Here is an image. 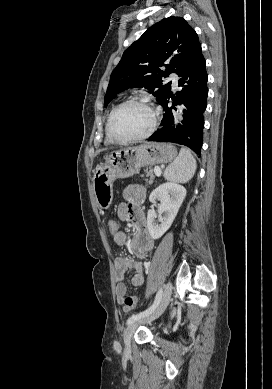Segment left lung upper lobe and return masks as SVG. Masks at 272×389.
I'll return each instance as SVG.
<instances>
[{
	"label": "left lung upper lobe",
	"mask_w": 272,
	"mask_h": 389,
	"mask_svg": "<svg viewBox=\"0 0 272 389\" xmlns=\"http://www.w3.org/2000/svg\"><path fill=\"white\" fill-rule=\"evenodd\" d=\"M200 46L197 33L182 17L154 24L123 53L110 76L105 107L116 94L134 87L150 90L161 104L171 89V83H162V77L179 74Z\"/></svg>",
	"instance_id": "5c2ea615"
}]
</instances>
